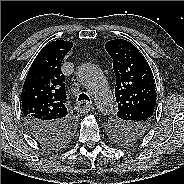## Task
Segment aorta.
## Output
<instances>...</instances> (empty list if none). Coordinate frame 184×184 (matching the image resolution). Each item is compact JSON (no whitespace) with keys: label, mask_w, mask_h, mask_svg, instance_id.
I'll use <instances>...</instances> for the list:
<instances>
[{"label":"aorta","mask_w":184,"mask_h":184,"mask_svg":"<svg viewBox=\"0 0 184 184\" xmlns=\"http://www.w3.org/2000/svg\"><path fill=\"white\" fill-rule=\"evenodd\" d=\"M77 77L91 95L98 112L104 115L112 112L114 98L101 69L92 63H83L77 69Z\"/></svg>","instance_id":"aorta-1"}]
</instances>
